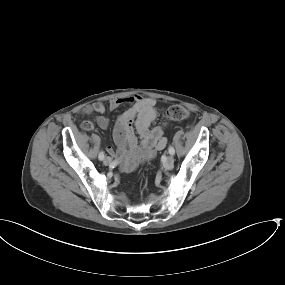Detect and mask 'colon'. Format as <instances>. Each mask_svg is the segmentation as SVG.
<instances>
[{"label": "colon", "mask_w": 285, "mask_h": 285, "mask_svg": "<svg viewBox=\"0 0 285 285\" xmlns=\"http://www.w3.org/2000/svg\"><path fill=\"white\" fill-rule=\"evenodd\" d=\"M166 115L170 120H182L188 116V111L181 105H173L167 110Z\"/></svg>", "instance_id": "colon-1"}]
</instances>
